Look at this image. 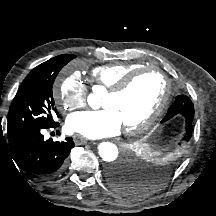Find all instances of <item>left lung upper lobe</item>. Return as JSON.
Wrapping results in <instances>:
<instances>
[{
  "label": "left lung upper lobe",
  "mask_w": 216,
  "mask_h": 216,
  "mask_svg": "<svg viewBox=\"0 0 216 216\" xmlns=\"http://www.w3.org/2000/svg\"><path fill=\"white\" fill-rule=\"evenodd\" d=\"M178 116H181L182 120L184 121L185 132L182 138L177 142L175 148H172L175 150H178V148H182V146L190 140L193 129L192 122L194 117V106L190 98L185 95H179L176 97L174 103L168 108V111L161 122L170 123V121L174 120ZM147 189L148 186L134 182L133 190L130 194H141Z\"/></svg>",
  "instance_id": "obj_1"
}]
</instances>
